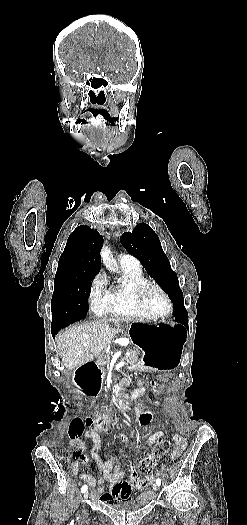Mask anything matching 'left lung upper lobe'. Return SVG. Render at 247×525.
<instances>
[{
	"label": "left lung upper lobe",
	"mask_w": 247,
	"mask_h": 525,
	"mask_svg": "<svg viewBox=\"0 0 247 525\" xmlns=\"http://www.w3.org/2000/svg\"><path fill=\"white\" fill-rule=\"evenodd\" d=\"M126 250L137 257L150 276L164 289L174 305V317L177 322L188 321L184 307L183 293L178 278L172 271L170 262L163 252L160 240L153 229L145 224H138L133 231L121 237Z\"/></svg>",
	"instance_id": "1"
}]
</instances>
